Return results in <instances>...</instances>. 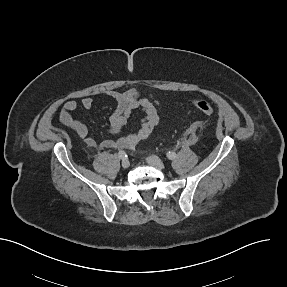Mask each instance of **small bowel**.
I'll return each mask as SVG.
<instances>
[{"instance_id":"c3829d8e","label":"small bowel","mask_w":287,"mask_h":287,"mask_svg":"<svg viewBox=\"0 0 287 287\" xmlns=\"http://www.w3.org/2000/svg\"><path fill=\"white\" fill-rule=\"evenodd\" d=\"M106 94L116 102V108L110 117L109 133L117 134L122 126L127 123L131 113L136 109L142 110L145 115L138 130L126 136L104 139L98 142L89 135L87 126L72 116V113L78 109V103L75 100L65 102L59 113L60 122L75 130L77 136L88 147L100 146L105 149H131L151 135L160 121L158 103L153 96L142 95L133 88L125 91L109 90ZM81 105L84 109H91L93 98L89 96L84 97L81 100Z\"/></svg>"}]
</instances>
